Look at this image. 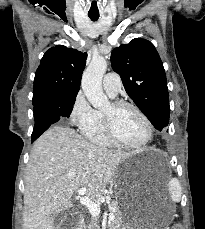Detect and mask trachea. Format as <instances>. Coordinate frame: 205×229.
I'll use <instances>...</instances> for the list:
<instances>
[{"label":"trachea","instance_id":"trachea-1","mask_svg":"<svg viewBox=\"0 0 205 229\" xmlns=\"http://www.w3.org/2000/svg\"><path fill=\"white\" fill-rule=\"evenodd\" d=\"M89 18H90L92 21H97L98 18H99V15H89Z\"/></svg>","mask_w":205,"mask_h":229}]
</instances>
